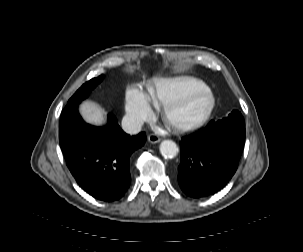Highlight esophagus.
Masks as SVG:
<instances>
[{
	"instance_id": "esophagus-1",
	"label": "esophagus",
	"mask_w": 303,
	"mask_h": 252,
	"mask_svg": "<svg viewBox=\"0 0 303 252\" xmlns=\"http://www.w3.org/2000/svg\"><path fill=\"white\" fill-rule=\"evenodd\" d=\"M148 141H149L150 143L155 144V143L160 142V141H161V138H160L158 135H156V134H150V135L148 136Z\"/></svg>"
}]
</instances>
